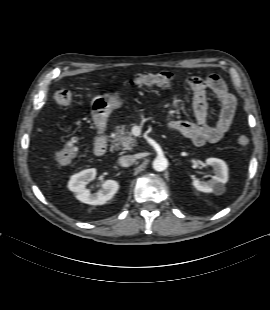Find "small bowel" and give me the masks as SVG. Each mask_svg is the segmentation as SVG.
Wrapping results in <instances>:
<instances>
[{"label":"small bowel","instance_id":"1","mask_svg":"<svg viewBox=\"0 0 270 310\" xmlns=\"http://www.w3.org/2000/svg\"><path fill=\"white\" fill-rule=\"evenodd\" d=\"M186 83L193 94L195 121H172L168 128L181 133L196 146L219 141L231 127L236 107L234 96L229 92L224 80L216 74L206 78L192 76ZM207 90L213 92L220 105V113L214 124L207 120Z\"/></svg>","mask_w":270,"mask_h":310}]
</instances>
